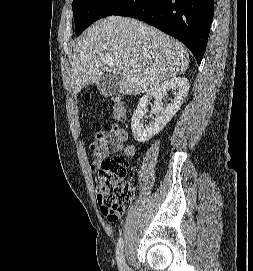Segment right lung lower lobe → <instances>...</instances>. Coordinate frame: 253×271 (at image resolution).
Wrapping results in <instances>:
<instances>
[{"label": "right lung lower lobe", "instance_id": "1", "mask_svg": "<svg viewBox=\"0 0 253 271\" xmlns=\"http://www.w3.org/2000/svg\"><path fill=\"white\" fill-rule=\"evenodd\" d=\"M214 0H127L113 15L142 20L182 41L200 64L213 18Z\"/></svg>", "mask_w": 253, "mask_h": 271}]
</instances>
